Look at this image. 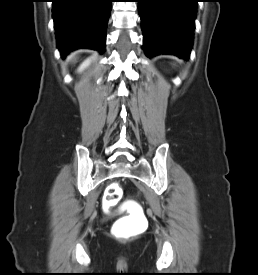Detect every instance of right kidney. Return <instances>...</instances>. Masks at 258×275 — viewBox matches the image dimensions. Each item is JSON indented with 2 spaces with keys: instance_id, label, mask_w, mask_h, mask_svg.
Segmentation results:
<instances>
[{
  "instance_id": "right-kidney-1",
  "label": "right kidney",
  "mask_w": 258,
  "mask_h": 275,
  "mask_svg": "<svg viewBox=\"0 0 258 275\" xmlns=\"http://www.w3.org/2000/svg\"><path fill=\"white\" fill-rule=\"evenodd\" d=\"M94 59H95V57H89L86 60H84L81 63V65L78 67L77 72L82 73L85 69H87L91 65V63Z\"/></svg>"
}]
</instances>
